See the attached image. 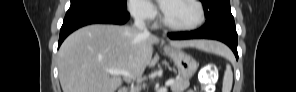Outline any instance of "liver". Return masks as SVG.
I'll list each match as a JSON object with an SVG mask.
<instances>
[{
    "mask_svg": "<svg viewBox=\"0 0 296 92\" xmlns=\"http://www.w3.org/2000/svg\"><path fill=\"white\" fill-rule=\"evenodd\" d=\"M159 39L144 35L130 26L94 24L83 27L62 43L58 52L59 79L63 92H116L122 85L120 75L107 69H122L141 77L147 66L159 57L153 45ZM172 47H194L214 52L216 42L206 40L170 41Z\"/></svg>",
    "mask_w": 296,
    "mask_h": 92,
    "instance_id": "1",
    "label": "liver"
}]
</instances>
